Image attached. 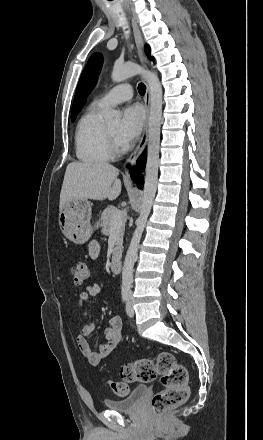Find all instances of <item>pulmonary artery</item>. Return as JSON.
Returning a JSON list of instances; mask_svg holds the SVG:
<instances>
[{
    "label": "pulmonary artery",
    "instance_id": "obj_1",
    "mask_svg": "<svg viewBox=\"0 0 263 440\" xmlns=\"http://www.w3.org/2000/svg\"><path fill=\"white\" fill-rule=\"evenodd\" d=\"M133 97V87L128 84H120L97 99L96 103L102 107H111L130 100Z\"/></svg>",
    "mask_w": 263,
    "mask_h": 440
}]
</instances>
